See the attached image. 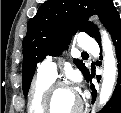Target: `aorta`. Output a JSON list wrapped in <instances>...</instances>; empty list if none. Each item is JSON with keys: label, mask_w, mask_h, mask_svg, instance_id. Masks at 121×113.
I'll list each match as a JSON object with an SVG mask.
<instances>
[{"label": "aorta", "mask_w": 121, "mask_h": 113, "mask_svg": "<svg viewBox=\"0 0 121 113\" xmlns=\"http://www.w3.org/2000/svg\"><path fill=\"white\" fill-rule=\"evenodd\" d=\"M102 46L104 51V70L103 82L99 96V104L105 105L113 93L116 81L117 64L114 55V49L108 33L102 30Z\"/></svg>", "instance_id": "obj_1"}]
</instances>
